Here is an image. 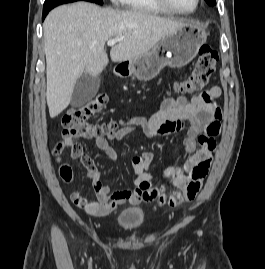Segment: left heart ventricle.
Listing matches in <instances>:
<instances>
[{
    "label": "left heart ventricle",
    "instance_id": "b2bd125f",
    "mask_svg": "<svg viewBox=\"0 0 265 269\" xmlns=\"http://www.w3.org/2000/svg\"><path fill=\"white\" fill-rule=\"evenodd\" d=\"M172 6L181 10H191L195 5V0H168Z\"/></svg>",
    "mask_w": 265,
    "mask_h": 269
}]
</instances>
